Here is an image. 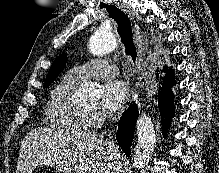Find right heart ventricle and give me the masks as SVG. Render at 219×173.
<instances>
[{"mask_svg": "<svg viewBox=\"0 0 219 173\" xmlns=\"http://www.w3.org/2000/svg\"><path fill=\"white\" fill-rule=\"evenodd\" d=\"M77 86L65 76L51 91L45 115L53 129L79 132L88 128L89 116L74 101Z\"/></svg>", "mask_w": 219, "mask_h": 173, "instance_id": "obj_1", "label": "right heart ventricle"}]
</instances>
